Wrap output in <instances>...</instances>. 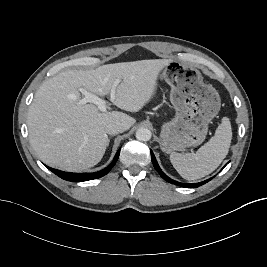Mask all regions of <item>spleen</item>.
<instances>
[{
    "mask_svg": "<svg viewBox=\"0 0 267 267\" xmlns=\"http://www.w3.org/2000/svg\"><path fill=\"white\" fill-rule=\"evenodd\" d=\"M232 129L227 117L222 119L215 135L196 153H172L170 161L180 176L193 181L212 173L228 154Z\"/></svg>",
    "mask_w": 267,
    "mask_h": 267,
    "instance_id": "spleen-1",
    "label": "spleen"
}]
</instances>
